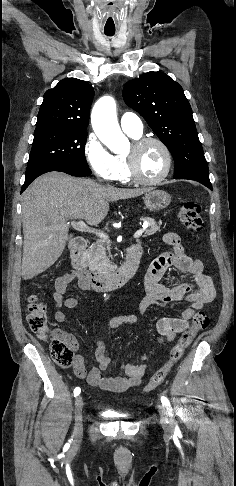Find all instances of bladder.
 Returning <instances> with one entry per match:
<instances>
[{
    "label": "bladder",
    "mask_w": 236,
    "mask_h": 486,
    "mask_svg": "<svg viewBox=\"0 0 236 486\" xmlns=\"http://www.w3.org/2000/svg\"><path fill=\"white\" fill-rule=\"evenodd\" d=\"M107 414L109 416H112V417H118V418H123V417H128L127 414H124L122 412H119V411H115V410H110V411H107Z\"/></svg>",
    "instance_id": "1"
}]
</instances>
